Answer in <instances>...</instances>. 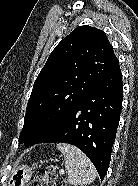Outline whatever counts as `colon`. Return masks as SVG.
Wrapping results in <instances>:
<instances>
[{"label": "colon", "instance_id": "obj_1", "mask_svg": "<svg viewBox=\"0 0 138 186\" xmlns=\"http://www.w3.org/2000/svg\"><path fill=\"white\" fill-rule=\"evenodd\" d=\"M30 186H67L65 179L59 174L47 170H40Z\"/></svg>", "mask_w": 138, "mask_h": 186}]
</instances>
